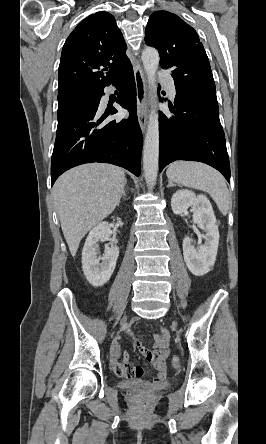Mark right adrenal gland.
I'll list each match as a JSON object with an SVG mask.
<instances>
[{
  "mask_svg": "<svg viewBox=\"0 0 266 444\" xmlns=\"http://www.w3.org/2000/svg\"><path fill=\"white\" fill-rule=\"evenodd\" d=\"M125 197H126V190L123 189V191H122V193H121V195H120V198H119V200H118L117 206H119V204L121 203V199H122V198L125 199Z\"/></svg>",
  "mask_w": 266,
  "mask_h": 444,
  "instance_id": "obj_1",
  "label": "right adrenal gland"
}]
</instances>
